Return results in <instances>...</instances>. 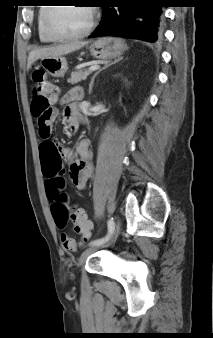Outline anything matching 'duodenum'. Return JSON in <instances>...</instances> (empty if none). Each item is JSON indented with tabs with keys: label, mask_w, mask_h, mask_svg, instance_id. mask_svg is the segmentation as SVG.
<instances>
[{
	"label": "duodenum",
	"mask_w": 213,
	"mask_h": 338,
	"mask_svg": "<svg viewBox=\"0 0 213 338\" xmlns=\"http://www.w3.org/2000/svg\"><path fill=\"white\" fill-rule=\"evenodd\" d=\"M77 127H78V124L77 123H73L72 124V133H74L75 132V130L77 129Z\"/></svg>",
	"instance_id": "obj_1"
}]
</instances>
